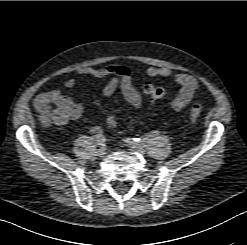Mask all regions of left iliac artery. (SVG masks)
I'll use <instances>...</instances> for the list:
<instances>
[{
	"label": "left iliac artery",
	"mask_w": 247,
	"mask_h": 245,
	"mask_svg": "<svg viewBox=\"0 0 247 245\" xmlns=\"http://www.w3.org/2000/svg\"><path fill=\"white\" fill-rule=\"evenodd\" d=\"M160 135V131L155 130L149 134L146 135L145 138H132L131 139V143L134 144H145L148 143L156 138H158V136Z\"/></svg>",
	"instance_id": "44dca946"
}]
</instances>
